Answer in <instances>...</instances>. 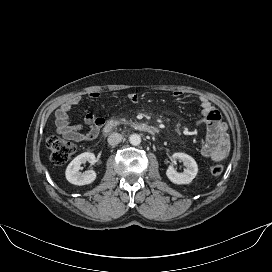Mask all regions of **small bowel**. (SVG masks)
<instances>
[{"mask_svg":"<svg viewBox=\"0 0 272 272\" xmlns=\"http://www.w3.org/2000/svg\"><path fill=\"white\" fill-rule=\"evenodd\" d=\"M181 92L175 91L174 96L180 97ZM98 92L89 93L90 99L99 98ZM132 102H137L139 96L135 93L128 95ZM79 96L70 97L65 101L55 114V124L59 134L65 139L74 142H83L94 140L104 123V119L92 113L84 117V125L73 124L70 120V112L73 106L80 102ZM201 116L197 120V125L206 129V139L202 144V155L216 163L223 162L229 153L230 140L227 133V125L222 121L220 112L205 99L200 98Z\"/></svg>","mask_w":272,"mask_h":272,"instance_id":"1","label":"small bowel"}]
</instances>
